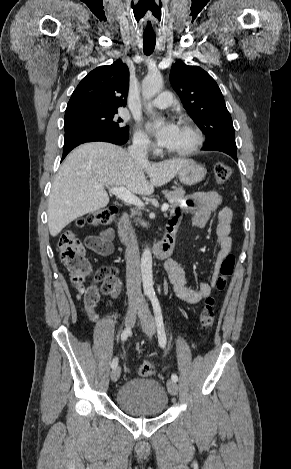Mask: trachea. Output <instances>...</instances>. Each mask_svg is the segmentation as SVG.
<instances>
[{"mask_svg": "<svg viewBox=\"0 0 291 469\" xmlns=\"http://www.w3.org/2000/svg\"><path fill=\"white\" fill-rule=\"evenodd\" d=\"M156 44L155 37H144L143 38V51L144 54L149 56L153 53Z\"/></svg>", "mask_w": 291, "mask_h": 469, "instance_id": "obj_1", "label": "trachea"}]
</instances>
